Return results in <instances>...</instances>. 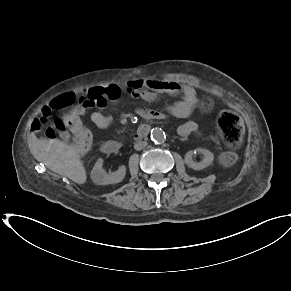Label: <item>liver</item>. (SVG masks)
Here are the masks:
<instances>
[{
    "label": "liver",
    "instance_id": "1",
    "mask_svg": "<svg viewBox=\"0 0 291 291\" xmlns=\"http://www.w3.org/2000/svg\"><path fill=\"white\" fill-rule=\"evenodd\" d=\"M28 144L32 155L52 171L77 184L86 182V170L74 145L59 139H38L35 136L29 138Z\"/></svg>",
    "mask_w": 291,
    "mask_h": 291
}]
</instances>
